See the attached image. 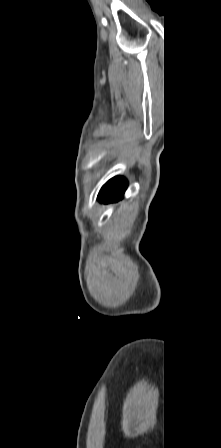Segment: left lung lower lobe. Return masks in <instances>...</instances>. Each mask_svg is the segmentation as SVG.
<instances>
[{
    "mask_svg": "<svg viewBox=\"0 0 221 448\" xmlns=\"http://www.w3.org/2000/svg\"><path fill=\"white\" fill-rule=\"evenodd\" d=\"M127 188V181L123 177L110 179L100 190L98 199L103 203L117 202L123 199L124 191Z\"/></svg>",
    "mask_w": 221,
    "mask_h": 448,
    "instance_id": "left-lung-lower-lobe-1",
    "label": "left lung lower lobe"
}]
</instances>
